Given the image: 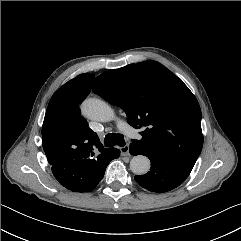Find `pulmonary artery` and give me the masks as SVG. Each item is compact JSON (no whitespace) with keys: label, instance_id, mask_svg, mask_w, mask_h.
<instances>
[{"label":"pulmonary artery","instance_id":"e3ab8cb5","mask_svg":"<svg viewBox=\"0 0 241 241\" xmlns=\"http://www.w3.org/2000/svg\"><path fill=\"white\" fill-rule=\"evenodd\" d=\"M119 128L125 133L127 134L129 137H134L135 136V131L134 129L126 124V123H120L119 124Z\"/></svg>","mask_w":241,"mask_h":241}]
</instances>
